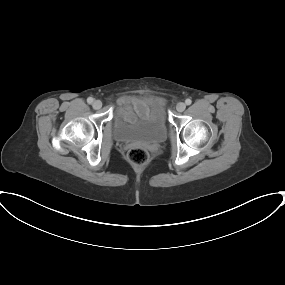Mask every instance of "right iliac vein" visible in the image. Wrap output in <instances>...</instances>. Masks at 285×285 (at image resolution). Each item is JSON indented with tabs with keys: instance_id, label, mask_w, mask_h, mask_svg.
<instances>
[{
	"instance_id": "right-iliac-vein-1",
	"label": "right iliac vein",
	"mask_w": 285,
	"mask_h": 285,
	"mask_svg": "<svg viewBox=\"0 0 285 285\" xmlns=\"http://www.w3.org/2000/svg\"><path fill=\"white\" fill-rule=\"evenodd\" d=\"M93 108L98 110L102 107V102L100 100H95L92 104Z\"/></svg>"
}]
</instances>
